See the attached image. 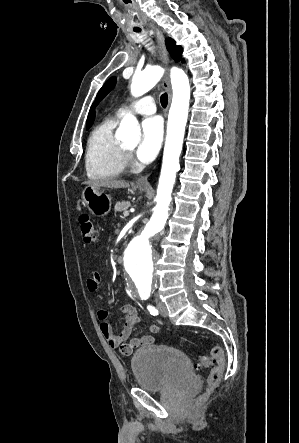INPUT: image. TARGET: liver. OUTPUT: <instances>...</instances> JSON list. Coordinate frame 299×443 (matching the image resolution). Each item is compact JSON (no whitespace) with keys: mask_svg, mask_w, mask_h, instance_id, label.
<instances>
[{"mask_svg":"<svg viewBox=\"0 0 299 443\" xmlns=\"http://www.w3.org/2000/svg\"><path fill=\"white\" fill-rule=\"evenodd\" d=\"M85 185L93 187H107V188H127L129 183L125 180H113V179H97L84 182Z\"/></svg>","mask_w":299,"mask_h":443,"instance_id":"6515ba94","label":"liver"}]
</instances>
